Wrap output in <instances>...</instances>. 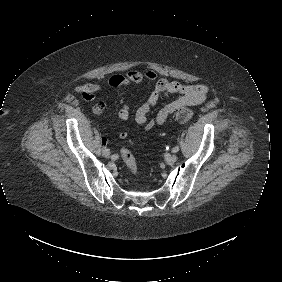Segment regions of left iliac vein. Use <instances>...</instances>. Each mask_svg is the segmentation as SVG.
I'll return each instance as SVG.
<instances>
[{
	"label": "left iliac vein",
	"mask_w": 282,
	"mask_h": 282,
	"mask_svg": "<svg viewBox=\"0 0 282 282\" xmlns=\"http://www.w3.org/2000/svg\"><path fill=\"white\" fill-rule=\"evenodd\" d=\"M176 161H177V155H176V154L169 155V156H167V158H166V163H167L168 165H172V164H174Z\"/></svg>",
	"instance_id": "left-iliac-vein-1"
}]
</instances>
